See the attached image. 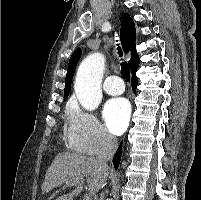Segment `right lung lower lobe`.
Wrapping results in <instances>:
<instances>
[{
    "label": "right lung lower lobe",
    "mask_w": 201,
    "mask_h": 200,
    "mask_svg": "<svg viewBox=\"0 0 201 200\" xmlns=\"http://www.w3.org/2000/svg\"><path fill=\"white\" fill-rule=\"evenodd\" d=\"M135 73L136 72L132 73V82H133L134 90H136L137 83H138V79H137ZM121 145H122V143L120 144L119 148L117 149V151H116V153H115V155L113 157V164H114L115 169L118 168L120 160H121V154H122L121 153V148H122Z\"/></svg>",
    "instance_id": "obj_1"
}]
</instances>
